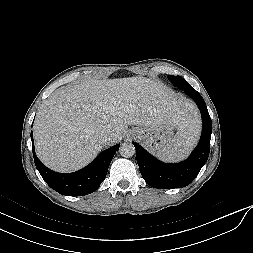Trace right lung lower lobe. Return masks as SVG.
Returning a JSON list of instances; mask_svg holds the SVG:
<instances>
[{
  "mask_svg": "<svg viewBox=\"0 0 253 253\" xmlns=\"http://www.w3.org/2000/svg\"><path fill=\"white\" fill-rule=\"evenodd\" d=\"M31 140L34 162L40 175L52 189L68 196H83L96 191L101 182L104 181L110 162L119 148V144H117L106 149L85 168L77 172L62 174L48 169L37 158L34 151L32 132Z\"/></svg>",
  "mask_w": 253,
  "mask_h": 253,
  "instance_id": "98d812e1",
  "label": "right lung lower lobe"
}]
</instances>
